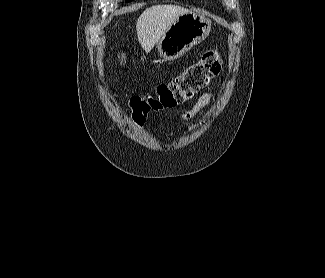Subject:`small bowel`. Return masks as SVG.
Instances as JSON below:
<instances>
[{
  "label": "small bowel",
  "instance_id": "1",
  "mask_svg": "<svg viewBox=\"0 0 325 278\" xmlns=\"http://www.w3.org/2000/svg\"><path fill=\"white\" fill-rule=\"evenodd\" d=\"M210 99H211L210 93L206 92L202 94L199 97L198 101L193 106V108L184 114V119L186 120L192 119L202 108H204L210 102Z\"/></svg>",
  "mask_w": 325,
  "mask_h": 278
}]
</instances>
